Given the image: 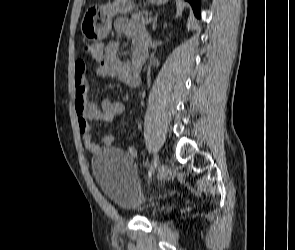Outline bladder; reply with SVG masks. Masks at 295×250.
<instances>
[{
	"instance_id": "1",
	"label": "bladder",
	"mask_w": 295,
	"mask_h": 250,
	"mask_svg": "<svg viewBox=\"0 0 295 250\" xmlns=\"http://www.w3.org/2000/svg\"><path fill=\"white\" fill-rule=\"evenodd\" d=\"M96 183L115 204L129 212H141L149 201L134 171L131 156L118 148L100 150L91 160Z\"/></svg>"
}]
</instances>
